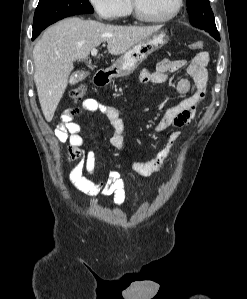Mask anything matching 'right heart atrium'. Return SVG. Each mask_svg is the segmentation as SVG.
<instances>
[{
	"label": "right heart atrium",
	"mask_w": 247,
	"mask_h": 299,
	"mask_svg": "<svg viewBox=\"0 0 247 299\" xmlns=\"http://www.w3.org/2000/svg\"><path fill=\"white\" fill-rule=\"evenodd\" d=\"M124 0H88L97 17L104 21H115L122 16Z\"/></svg>",
	"instance_id": "d8ad5b80"
}]
</instances>
